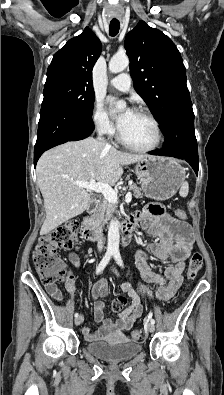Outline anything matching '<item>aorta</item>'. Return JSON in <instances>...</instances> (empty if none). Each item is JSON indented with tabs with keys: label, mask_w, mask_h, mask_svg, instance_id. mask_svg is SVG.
Instances as JSON below:
<instances>
[{
	"label": "aorta",
	"mask_w": 224,
	"mask_h": 395,
	"mask_svg": "<svg viewBox=\"0 0 224 395\" xmlns=\"http://www.w3.org/2000/svg\"><path fill=\"white\" fill-rule=\"evenodd\" d=\"M129 66V59L126 55H114L109 62V71L112 73L122 72ZM126 104L120 103L118 109H125ZM119 222L113 219L108 228L107 250L112 253L119 252Z\"/></svg>",
	"instance_id": "1"
}]
</instances>
